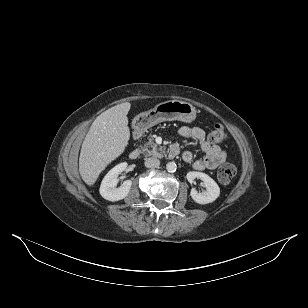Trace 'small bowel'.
<instances>
[{"label": "small bowel", "instance_id": "small-bowel-1", "mask_svg": "<svg viewBox=\"0 0 308 308\" xmlns=\"http://www.w3.org/2000/svg\"><path fill=\"white\" fill-rule=\"evenodd\" d=\"M179 134L186 139H192L199 143L204 157L194 160L193 154L190 151L182 153V159L186 163L193 164L194 169L203 171L206 169H215L226 160V152L218 145L211 144L206 139V134L199 127L182 126L179 129Z\"/></svg>", "mask_w": 308, "mask_h": 308}]
</instances>
